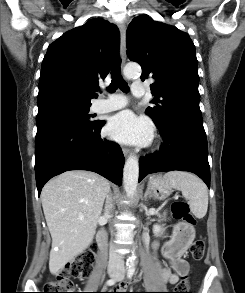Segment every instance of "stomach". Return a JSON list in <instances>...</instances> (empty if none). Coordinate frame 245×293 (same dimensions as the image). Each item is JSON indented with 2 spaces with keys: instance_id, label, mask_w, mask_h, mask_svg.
<instances>
[{
  "instance_id": "obj_1",
  "label": "stomach",
  "mask_w": 245,
  "mask_h": 293,
  "mask_svg": "<svg viewBox=\"0 0 245 293\" xmlns=\"http://www.w3.org/2000/svg\"><path fill=\"white\" fill-rule=\"evenodd\" d=\"M149 193L157 199L163 200L167 198L173 191V187L168 183L164 176L162 175H153L149 178L148 182ZM182 233L188 232L190 234L187 244L194 237V230L191 227L183 226Z\"/></svg>"
}]
</instances>
